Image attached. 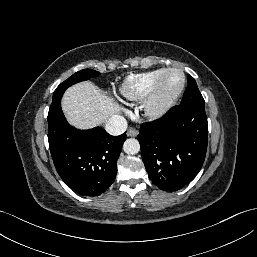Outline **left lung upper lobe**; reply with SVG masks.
Wrapping results in <instances>:
<instances>
[{
	"label": "left lung upper lobe",
	"instance_id": "1",
	"mask_svg": "<svg viewBox=\"0 0 257 257\" xmlns=\"http://www.w3.org/2000/svg\"><path fill=\"white\" fill-rule=\"evenodd\" d=\"M182 106L200 105L205 106V101L197 87L196 81L191 75H188V86L184 92L180 103Z\"/></svg>",
	"mask_w": 257,
	"mask_h": 257
}]
</instances>
